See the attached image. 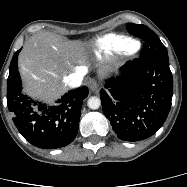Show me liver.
<instances>
[{"label": "liver", "instance_id": "1", "mask_svg": "<svg viewBox=\"0 0 187 187\" xmlns=\"http://www.w3.org/2000/svg\"><path fill=\"white\" fill-rule=\"evenodd\" d=\"M86 62L81 42L66 41L49 32L31 36L18 59L25 92L50 104L67 92V76ZM107 72L108 69H103L101 74Z\"/></svg>", "mask_w": 187, "mask_h": 187}]
</instances>
